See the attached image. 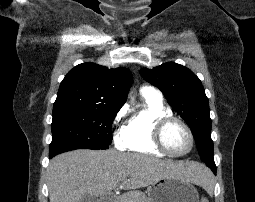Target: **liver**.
I'll return each mask as SVG.
<instances>
[{
  "label": "liver",
  "mask_w": 255,
  "mask_h": 202,
  "mask_svg": "<svg viewBox=\"0 0 255 202\" xmlns=\"http://www.w3.org/2000/svg\"><path fill=\"white\" fill-rule=\"evenodd\" d=\"M204 166L193 161L161 160L143 154L108 150H75L56 156L48 168L50 202H79L103 196L117 186L137 189L161 178L178 177L200 184Z\"/></svg>",
  "instance_id": "6515ba94"
}]
</instances>
